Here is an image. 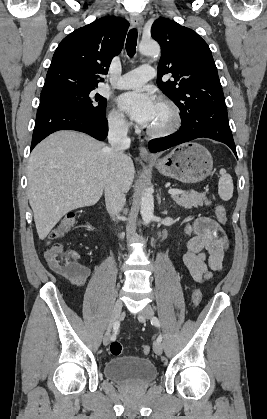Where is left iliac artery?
Instances as JSON below:
<instances>
[{"label":"left iliac artery","instance_id":"1","mask_svg":"<svg viewBox=\"0 0 267 419\" xmlns=\"http://www.w3.org/2000/svg\"><path fill=\"white\" fill-rule=\"evenodd\" d=\"M151 323L153 325H155L156 327H160V322H159V320H158L157 317H152L151 318ZM157 341L158 342H161L162 341V335L161 334L157 337Z\"/></svg>","mask_w":267,"mask_h":419}]
</instances>
